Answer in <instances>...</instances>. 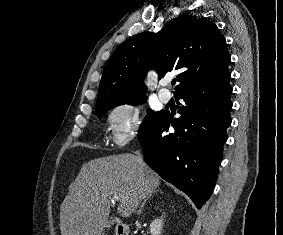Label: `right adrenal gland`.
Segmentation results:
<instances>
[{"label":"right adrenal gland","instance_id":"obj_1","mask_svg":"<svg viewBox=\"0 0 283 235\" xmlns=\"http://www.w3.org/2000/svg\"><path fill=\"white\" fill-rule=\"evenodd\" d=\"M158 190L151 192L143 201V203L140 206L139 212H141L142 208L144 207L145 203L147 200H149V198L153 195V193H156Z\"/></svg>","mask_w":283,"mask_h":235}]
</instances>
